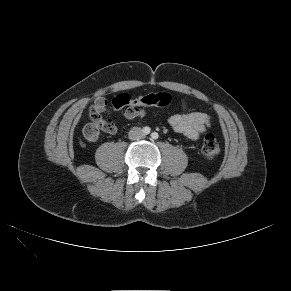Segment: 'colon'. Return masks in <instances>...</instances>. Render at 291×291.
<instances>
[{"label": "colon", "instance_id": "5ec220e1", "mask_svg": "<svg viewBox=\"0 0 291 291\" xmlns=\"http://www.w3.org/2000/svg\"><path fill=\"white\" fill-rule=\"evenodd\" d=\"M171 101V97L167 93H136L118 92L112 99L110 106L118 111H123L129 105H140L148 107H166ZM91 122L83 128V135L86 140L94 142L98 139L100 132L114 133L115 125L102 114L90 111ZM202 154L209 159L215 158L220 153V144L213 135H206L202 142Z\"/></svg>", "mask_w": 291, "mask_h": 291}]
</instances>
